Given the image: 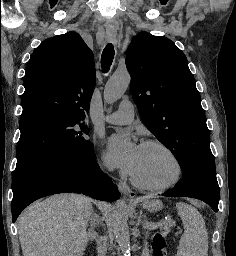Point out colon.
<instances>
[{
  "mask_svg": "<svg viewBox=\"0 0 236 256\" xmlns=\"http://www.w3.org/2000/svg\"><path fill=\"white\" fill-rule=\"evenodd\" d=\"M166 239L162 232H157L151 242V256H166Z\"/></svg>",
  "mask_w": 236,
  "mask_h": 256,
  "instance_id": "5ec220e1",
  "label": "colon"
}]
</instances>
